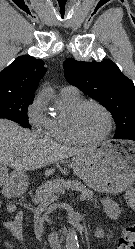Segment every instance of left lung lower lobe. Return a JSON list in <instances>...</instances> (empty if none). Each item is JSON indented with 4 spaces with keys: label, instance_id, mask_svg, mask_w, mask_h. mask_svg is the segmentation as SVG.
Here are the masks:
<instances>
[{
    "label": "left lung lower lobe",
    "instance_id": "0a47b994",
    "mask_svg": "<svg viewBox=\"0 0 135 249\" xmlns=\"http://www.w3.org/2000/svg\"><path fill=\"white\" fill-rule=\"evenodd\" d=\"M124 139H129V140L135 141V134L128 135Z\"/></svg>",
    "mask_w": 135,
    "mask_h": 249
}]
</instances>
